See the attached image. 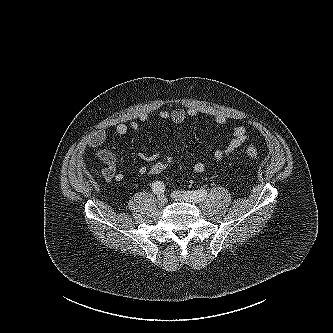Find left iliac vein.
<instances>
[{
	"label": "left iliac vein",
	"mask_w": 333,
	"mask_h": 333,
	"mask_svg": "<svg viewBox=\"0 0 333 333\" xmlns=\"http://www.w3.org/2000/svg\"><path fill=\"white\" fill-rule=\"evenodd\" d=\"M171 197L176 201H184L188 203L193 202L192 199L189 197L188 193L184 191H174L171 193Z\"/></svg>",
	"instance_id": "1"
}]
</instances>
